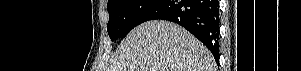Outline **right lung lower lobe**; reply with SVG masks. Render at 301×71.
<instances>
[{"label": "right lung lower lobe", "instance_id": "98d812e1", "mask_svg": "<svg viewBox=\"0 0 301 71\" xmlns=\"http://www.w3.org/2000/svg\"><path fill=\"white\" fill-rule=\"evenodd\" d=\"M155 19L172 21L186 28L207 46L219 63L218 0H157L143 13L139 24Z\"/></svg>", "mask_w": 301, "mask_h": 71}]
</instances>
